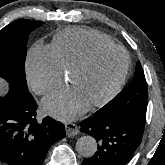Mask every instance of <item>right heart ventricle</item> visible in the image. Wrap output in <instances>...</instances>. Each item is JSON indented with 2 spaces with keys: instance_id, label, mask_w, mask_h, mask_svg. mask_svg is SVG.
I'll use <instances>...</instances> for the list:
<instances>
[{
  "instance_id": "right-heart-ventricle-1",
  "label": "right heart ventricle",
  "mask_w": 165,
  "mask_h": 165,
  "mask_svg": "<svg viewBox=\"0 0 165 165\" xmlns=\"http://www.w3.org/2000/svg\"><path fill=\"white\" fill-rule=\"evenodd\" d=\"M104 34L87 28L73 27L57 33L51 44L62 69L70 72L93 47L113 44Z\"/></svg>"
}]
</instances>
